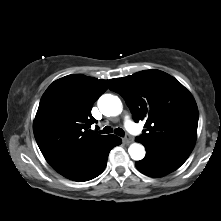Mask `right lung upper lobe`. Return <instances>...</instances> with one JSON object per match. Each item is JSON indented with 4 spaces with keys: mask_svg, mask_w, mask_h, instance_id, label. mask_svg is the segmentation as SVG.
Here are the masks:
<instances>
[{
    "mask_svg": "<svg viewBox=\"0 0 221 221\" xmlns=\"http://www.w3.org/2000/svg\"><path fill=\"white\" fill-rule=\"evenodd\" d=\"M112 82L74 74L54 81L44 92L33 131L50 166L76 160L109 137L89 128L96 123L92 105Z\"/></svg>",
    "mask_w": 221,
    "mask_h": 221,
    "instance_id": "right-lung-upper-lobe-1",
    "label": "right lung upper lobe"
}]
</instances>
